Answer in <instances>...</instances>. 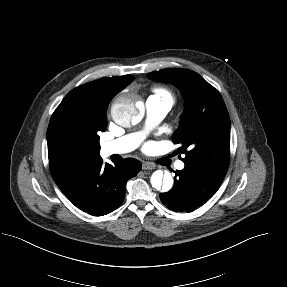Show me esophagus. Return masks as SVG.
Instances as JSON below:
<instances>
[{"instance_id": "obj_1", "label": "esophagus", "mask_w": 287, "mask_h": 287, "mask_svg": "<svg viewBox=\"0 0 287 287\" xmlns=\"http://www.w3.org/2000/svg\"><path fill=\"white\" fill-rule=\"evenodd\" d=\"M155 168H156V166L153 163H151V162H144L142 164V169L143 170H153Z\"/></svg>"}]
</instances>
